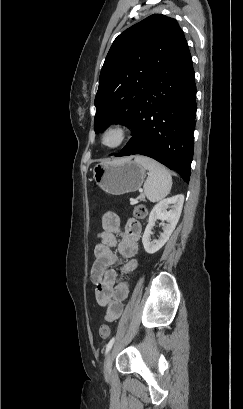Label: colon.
Instances as JSON below:
<instances>
[{"instance_id":"5ec220e1","label":"colon","mask_w":243,"mask_h":409,"mask_svg":"<svg viewBox=\"0 0 243 409\" xmlns=\"http://www.w3.org/2000/svg\"><path fill=\"white\" fill-rule=\"evenodd\" d=\"M133 214L138 219H144L147 214L148 210L147 207L143 204H137L133 207ZM110 335L109 326L104 323L99 327V336L101 339L106 340Z\"/></svg>"}]
</instances>
